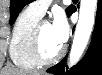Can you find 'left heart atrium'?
Here are the masks:
<instances>
[{"label": "left heart atrium", "mask_w": 102, "mask_h": 75, "mask_svg": "<svg viewBox=\"0 0 102 75\" xmlns=\"http://www.w3.org/2000/svg\"><path fill=\"white\" fill-rule=\"evenodd\" d=\"M51 27L58 43L62 46L69 36V25L64 14L57 13Z\"/></svg>", "instance_id": "1"}]
</instances>
